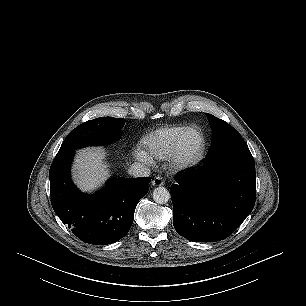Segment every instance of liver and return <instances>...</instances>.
<instances>
[{"instance_id":"6515ba94","label":"liver","mask_w":306,"mask_h":306,"mask_svg":"<svg viewBox=\"0 0 306 306\" xmlns=\"http://www.w3.org/2000/svg\"><path fill=\"white\" fill-rule=\"evenodd\" d=\"M101 148H84L78 151L74 164V178L83 191H92L109 176Z\"/></svg>"}]
</instances>
